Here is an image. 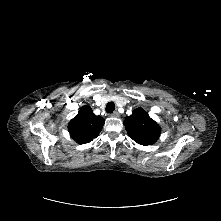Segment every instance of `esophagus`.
Segmentation results:
<instances>
[{"label":"esophagus","mask_w":221,"mask_h":221,"mask_svg":"<svg viewBox=\"0 0 221 221\" xmlns=\"http://www.w3.org/2000/svg\"><path fill=\"white\" fill-rule=\"evenodd\" d=\"M111 117H118L119 113L117 111L110 114Z\"/></svg>","instance_id":"obj_1"}]
</instances>
